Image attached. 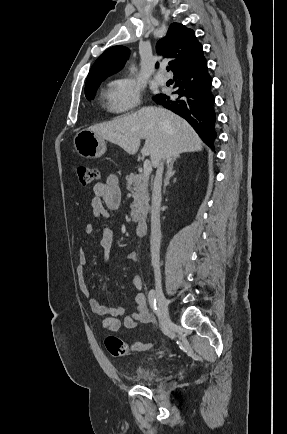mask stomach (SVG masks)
<instances>
[{
    "label": "stomach",
    "instance_id": "stomach-1",
    "mask_svg": "<svg viewBox=\"0 0 287 434\" xmlns=\"http://www.w3.org/2000/svg\"><path fill=\"white\" fill-rule=\"evenodd\" d=\"M74 147L87 159L99 158L106 152L105 140L89 129H82L75 135Z\"/></svg>",
    "mask_w": 287,
    "mask_h": 434
}]
</instances>
